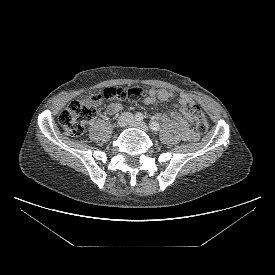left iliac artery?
Instances as JSON below:
<instances>
[{
    "instance_id": "1",
    "label": "left iliac artery",
    "mask_w": 275,
    "mask_h": 275,
    "mask_svg": "<svg viewBox=\"0 0 275 275\" xmlns=\"http://www.w3.org/2000/svg\"><path fill=\"white\" fill-rule=\"evenodd\" d=\"M150 128L153 130V131H159L160 129V125L157 121H150V124H149Z\"/></svg>"
}]
</instances>
